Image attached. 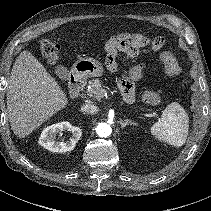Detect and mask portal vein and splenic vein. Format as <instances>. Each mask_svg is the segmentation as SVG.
<instances>
[{"label":"portal vein and splenic vein","mask_w":211,"mask_h":211,"mask_svg":"<svg viewBox=\"0 0 211 211\" xmlns=\"http://www.w3.org/2000/svg\"><path fill=\"white\" fill-rule=\"evenodd\" d=\"M153 116H154V117H158V114H157V113H153Z\"/></svg>","instance_id":"obj_1"}]
</instances>
